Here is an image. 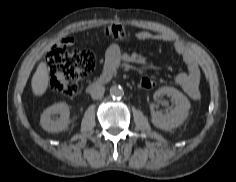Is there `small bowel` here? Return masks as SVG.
<instances>
[{"label":"small bowel","instance_id":"small-bowel-1","mask_svg":"<svg viewBox=\"0 0 236 182\" xmlns=\"http://www.w3.org/2000/svg\"><path fill=\"white\" fill-rule=\"evenodd\" d=\"M111 29L115 30L119 34L126 38V32L123 27L119 25L111 26ZM137 39L140 41L158 40L164 42H170L174 51L182 58L187 66V71L179 73L175 76V83L180 86L183 91L193 100L200 98V79L201 71L196 55L181 41L176 40L169 33H151L147 31H141L137 33ZM64 41L70 45L73 39L67 37Z\"/></svg>","mask_w":236,"mask_h":182}]
</instances>
